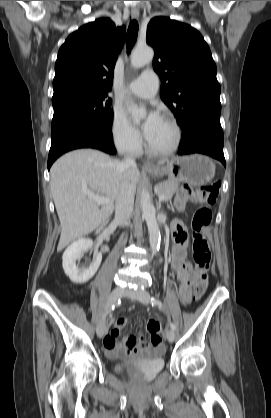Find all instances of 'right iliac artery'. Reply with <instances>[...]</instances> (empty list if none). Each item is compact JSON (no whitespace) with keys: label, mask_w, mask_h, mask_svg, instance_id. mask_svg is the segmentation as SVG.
<instances>
[{"label":"right iliac artery","mask_w":271,"mask_h":418,"mask_svg":"<svg viewBox=\"0 0 271 418\" xmlns=\"http://www.w3.org/2000/svg\"><path fill=\"white\" fill-rule=\"evenodd\" d=\"M115 306H112V308L106 313L108 314L111 310H114Z\"/></svg>","instance_id":"82829eb1"}]
</instances>
